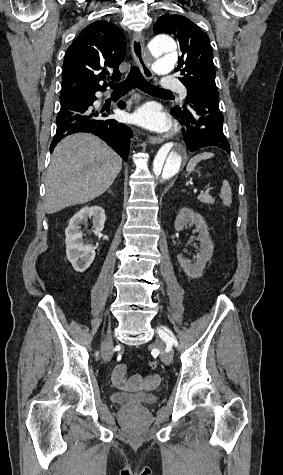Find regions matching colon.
<instances>
[{
    "label": "colon",
    "mask_w": 283,
    "mask_h": 475,
    "mask_svg": "<svg viewBox=\"0 0 283 475\" xmlns=\"http://www.w3.org/2000/svg\"><path fill=\"white\" fill-rule=\"evenodd\" d=\"M158 366V360L156 358H152L150 361H149V367L154 369Z\"/></svg>",
    "instance_id": "5ec220e1"
}]
</instances>
